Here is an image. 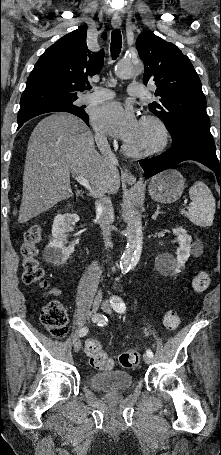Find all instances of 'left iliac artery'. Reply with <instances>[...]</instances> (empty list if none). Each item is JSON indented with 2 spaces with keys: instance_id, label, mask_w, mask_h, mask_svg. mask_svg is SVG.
Instances as JSON below:
<instances>
[{
  "instance_id": "44dca946",
  "label": "left iliac artery",
  "mask_w": 221,
  "mask_h": 455,
  "mask_svg": "<svg viewBox=\"0 0 221 455\" xmlns=\"http://www.w3.org/2000/svg\"><path fill=\"white\" fill-rule=\"evenodd\" d=\"M110 303L116 312L124 313L126 311V305L119 296H112ZM146 354L150 357H153V352L151 350H147Z\"/></svg>"
}]
</instances>
